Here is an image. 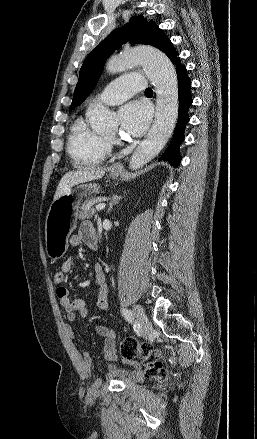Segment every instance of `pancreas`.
Here are the masks:
<instances>
[{"instance_id": "obj_1", "label": "pancreas", "mask_w": 257, "mask_h": 439, "mask_svg": "<svg viewBox=\"0 0 257 439\" xmlns=\"http://www.w3.org/2000/svg\"><path fill=\"white\" fill-rule=\"evenodd\" d=\"M101 200H102L101 197L86 200L81 206V210L79 211L78 218L80 220L91 218L96 212L95 209L93 208V205Z\"/></svg>"}]
</instances>
